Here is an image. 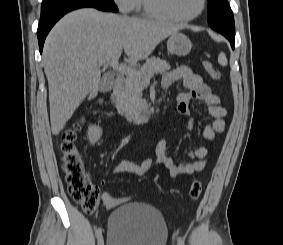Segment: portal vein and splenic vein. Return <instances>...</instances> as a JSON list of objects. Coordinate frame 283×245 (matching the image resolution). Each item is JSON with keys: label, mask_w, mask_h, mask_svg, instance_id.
I'll list each match as a JSON object with an SVG mask.
<instances>
[{"label": "portal vein and splenic vein", "mask_w": 283, "mask_h": 245, "mask_svg": "<svg viewBox=\"0 0 283 245\" xmlns=\"http://www.w3.org/2000/svg\"><path fill=\"white\" fill-rule=\"evenodd\" d=\"M118 59H119V55H117L113 60H111L110 62H107L105 64V66H110L112 67L115 71L123 74V75H126L130 78H133V77H139L141 78L144 83L148 84L150 82V78L151 76H141L139 75L138 71L136 69H134L133 67H130V66H127V65H123V64H120L118 62Z\"/></svg>", "instance_id": "obj_1"}]
</instances>
